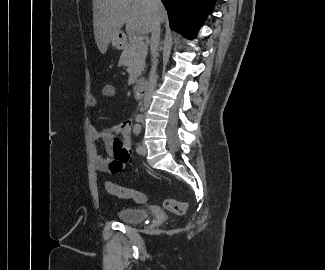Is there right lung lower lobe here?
I'll return each instance as SVG.
<instances>
[{
    "label": "right lung lower lobe",
    "mask_w": 325,
    "mask_h": 270,
    "mask_svg": "<svg viewBox=\"0 0 325 270\" xmlns=\"http://www.w3.org/2000/svg\"><path fill=\"white\" fill-rule=\"evenodd\" d=\"M164 4L170 27L188 38H193L205 18L213 10L216 0H161Z\"/></svg>",
    "instance_id": "1"
}]
</instances>
